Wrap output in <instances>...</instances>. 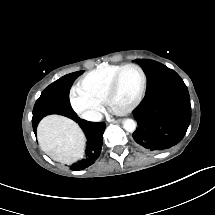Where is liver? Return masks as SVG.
<instances>
[{
    "label": "liver",
    "instance_id": "6515ba94",
    "mask_svg": "<svg viewBox=\"0 0 215 215\" xmlns=\"http://www.w3.org/2000/svg\"><path fill=\"white\" fill-rule=\"evenodd\" d=\"M37 138L42 151L54 161L72 164L84 156L86 138L73 120L49 115L37 128Z\"/></svg>",
    "mask_w": 215,
    "mask_h": 215
}]
</instances>
